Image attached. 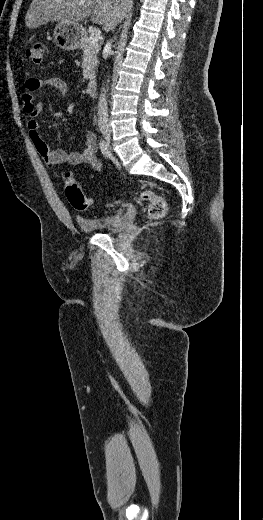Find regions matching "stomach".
Masks as SVG:
<instances>
[{
    "label": "stomach",
    "mask_w": 263,
    "mask_h": 520,
    "mask_svg": "<svg viewBox=\"0 0 263 520\" xmlns=\"http://www.w3.org/2000/svg\"><path fill=\"white\" fill-rule=\"evenodd\" d=\"M54 37L61 49L76 50L79 48L83 37V27L78 23L59 22L55 26Z\"/></svg>",
    "instance_id": "obj_1"
}]
</instances>
